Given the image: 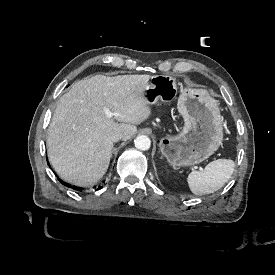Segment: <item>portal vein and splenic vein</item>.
<instances>
[{
    "label": "portal vein and splenic vein",
    "instance_id": "obj_1",
    "mask_svg": "<svg viewBox=\"0 0 275 275\" xmlns=\"http://www.w3.org/2000/svg\"><path fill=\"white\" fill-rule=\"evenodd\" d=\"M108 114H110L111 116L114 115L116 117H120V113H110L108 112ZM195 169H198V171L200 172H205V169H202V168H198V166H194V168H192V172H195Z\"/></svg>",
    "mask_w": 275,
    "mask_h": 275
}]
</instances>
